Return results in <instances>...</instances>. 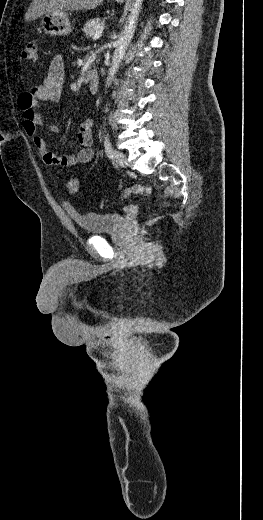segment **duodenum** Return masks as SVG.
<instances>
[{"mask_svg": "<svg viewBox=\"0 0 263 520\" xmlns=\"http://www.w3.org/2000/svg\"><path fill=\"white\" fill-rule=\"evenodd\" d=\"M86 80H87V83H88L89 91L92 94L97 93L98 89H99L98 75L96 73H94V72H90V73L87 74Z\"/></svg>", "mask_w": 263, "mask_h": 520, "instance_id": "duodenum-1", "label": "duodenum"}]
</instances>
